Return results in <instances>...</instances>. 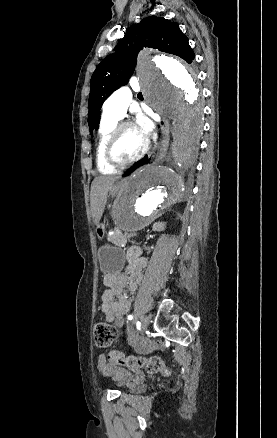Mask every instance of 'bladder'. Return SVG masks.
I'll return each instance as SVG.
<instances>
[{"mask_svg": "<svg viewBox=\"0 0 277 438\" xmlns=\"http://www.w3.org/2000/svg\"><path fill=\"white\" fill-rule=\"evenodd\" d=\"M140 382H141L140 379L129 381V382L127 383V385H126V387H128V388L126 389V392L128 393V392H131V391L135 390V389L139 386Z\"/></svg>", "mask_w": 277, "mask_h": 438, "instance_id": "bladder-1", "label": "bladder"}]
</instances>
